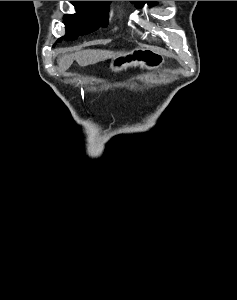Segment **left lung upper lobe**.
<instances>
[{
	"label": "left lung upper lobe",
	"instance_id": "left-lung-upper-lobe-1",
	"mask_svg": "<svg viewBox=\"0 0 237 300\" xmlns=\"http://www.w3.org/2000/svg\"><path fill=\"white\" fill-rule=\"evenodd\" d=\"M131 3H135L136 7H141L143 6L145 3H148L150 6L155 4V1H130Z\"/></svg>",
	"mask_w": 237,
	"mask_h": 300
}]
</instances>
